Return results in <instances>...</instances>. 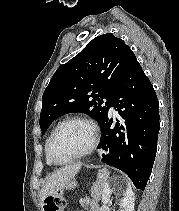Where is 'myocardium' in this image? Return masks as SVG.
I'll return each instance as SVG.
<instances>
[{
    "instance_id": "1",
    "label": "myocardium",
    "mask_w": 179,
    "mask_h": 211,
    "mask_svg": "<svg viewBox=\"0 0 179 211\" xmlns=\"http://www.w3.org/2000/svg\"><path fill=\"white\" fill-rule=\"evenodd\" d=\"M71 122H82V123L86 124L91 130V142H90L89 146L84 151L77 154L73 158H71L69 160H65V161H59L53 156L52 144H53V141H54L57 133L59 132V130L64 125L71 123ZM98 141H99V131H98L97 125L95 124V122L93 120H91L90 118L85 117V116H78V115L71 116V117H68V118L62 120L51 132L50 137L47 142V148H46L47 156H48L50 162L54 165H59V166L68 165V164L78 161V160L88 156L89 154H91L96 149V147L98 145Z\"/></svg>"
}]
</instances>
